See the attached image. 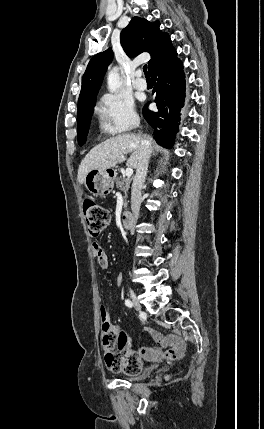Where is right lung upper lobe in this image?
<instances>
[{
	"label": "right lung upper lobe",
	"mask_w": 264,
	"mask_h": 429,
	"mask_svg": "<svg viewBox=\"0 0 264 429\" xmlns=\"http://www.w3.org/2000/svg\"><path fill=\"white\" fill-rule=\"evenodd\" d=\"M159 26V21L151 23L144 18L133 17L120 34L121 45L128 56L133 57L142 52H148L151 55L148 62L150 73L174 50L170 36L162 32ZM112 59L113 53L109 48L90 60L82 78L78 106L96 101L104 73Z\"/></svg>",
	"instance_id": "obj_1"
}]
</instances>
